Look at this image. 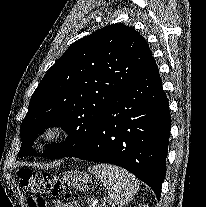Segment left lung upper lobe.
Here are the masks:
<instances>
[{"label": "left lung upper lobe", "mask_w": 206, "mask_h": 207, "mask_svg": "<svg viewBox=\"0 0 206 207\" xmlns=\"http://www.w3.org/2000/svg\"><path fill=\"white\" fill-rule=\"evenodd\" d=\"M144 37L112 24L73 43L47 71L33 93L21 124L18 156H37V134L61 126L68 140L47 147L45 157L63 158L84 149L114 98L151 60Z\"/></svg>", "instance_id": "1"}]
</instances>
